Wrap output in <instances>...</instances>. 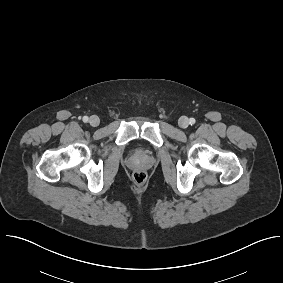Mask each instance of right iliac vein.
<instances>
[{
	"label": "right iliac vein",
	"mask_w": 283,
	"mask_h": 283,
	"mask_svg": "<svg viewBox=\"0 0 283 283\" xmlns=\"http://www.w3.org/2000/svg\"><path fill=\"white\" fill-rule=\"evenodd\" d=\"M89 124L92 126V127H97L99 124H100V119L98 116L96 115H93L89 118Z\"/></svg>",
	"instance_id": "63e3f726"
}]
</instances>
